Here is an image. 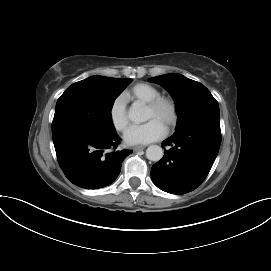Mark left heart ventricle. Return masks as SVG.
<instances>
[{
	"label": "left heart ventricle",
	"instance_id": "obj_1",
	"mask_svg": "<svg viewBox=\"0 0 271 271\" xmlns=\"http://www.w3.org/2000/svg\"><path fill=\"white\" fill-rule=\"evenodd\" d=\"M169 109L166 106L161 107L160 109L153 111L149 108H146L145 111V120H151L155 119L158 122H160L164 127H166V124L169 119Z\"/></svg>",
	"mask_w": 271,
	"mask_h": 271
}]
</instances>
